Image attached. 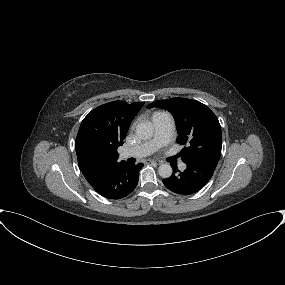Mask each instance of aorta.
<instances>
[{"mask_svg": "<svg viewBox=\"0 0 285 285\" xmlns=\"http://www.w3.org/2000/svg\"><path fill=\"white\" fill-rule=\"evenodd\" d=\"M154 129L148 124H139L136 127V135L139 139L148 140L152 138ZM172 167L168 164H161L158 168V173L162 178H169L172 175Z\"/></svg>", "mask_w": 285, "mask_h": 285, "instance_id": "aorta-1", "label": "aorta"}]
</instances>
